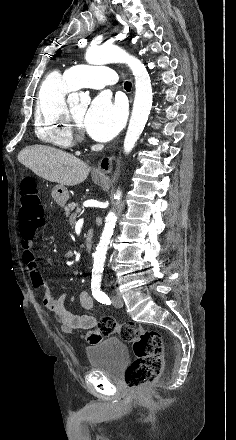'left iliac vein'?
<instances>
[{
  "instance_id": "1",
  "label": "left iliac vein",
  "mask_w": 236,
  "mask_h": 440,
  "mask_svg": "<svg viewBox=\"0 0 236 440\" xmlns=\"http://www.w3.org/2000/svg\"><path fill=\"white\" fill-rule=\"evenodd\" d=\"M112 304H113V306L120 308L123 306V300L119 295H114L112 297Z\"/></svg>"
}]
</instances>
